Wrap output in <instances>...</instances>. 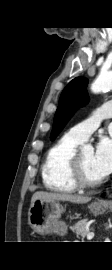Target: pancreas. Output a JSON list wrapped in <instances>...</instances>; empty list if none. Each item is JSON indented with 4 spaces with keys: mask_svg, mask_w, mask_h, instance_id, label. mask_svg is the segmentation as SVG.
Here are the masks:
<instances>
[{
    "mask_svg": "<svg viewBox=\"0 0 112 270\" xmlns=\"http://www.w3.org/2000/svg\"><path fill=\"white\" fill-rule=\"evenodd\" d=\"M71 230L76 234V237L81 238L82 242H83V239L88 235L89 224H88L86 219H83V220L76 222L71 227Z\"/></svg>",
    "mask_w": 112,
    "mask_h": 270,
    "instance_id": "obj_1",
    "label": "pancreas"
}]
</instances>
